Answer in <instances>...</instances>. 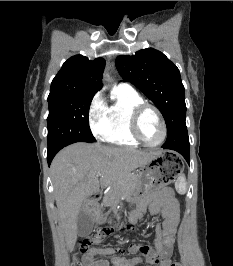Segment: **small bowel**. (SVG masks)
<instances>
[{
    "label": "small bowel",
    "instance_id": "small-bowel-1",
    "mask_svg": "<svg viewBox=\"0 0 233 266\" xmlns=\"http://www.w3.org/2000/svg\"><path fill=\"white\" fill-rule=\"evenodd\" d=\"M151 197L145 195L139 201L138 211L133 215L132 221L139 220L147 209ZM152 215H161L162 221L156 225L155 246L145 244H132L131 253L139 255L126 259L114 254L110 247L93 246L83 256L81 266H136L144 261L156 266H170L168 257L172 251L174 237L179 223V205L171 189H164L155 196L149 205Z\"/></svg>",
    "mask_w": 233,
    "mask_h": 266
}]
</instances>
